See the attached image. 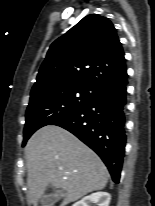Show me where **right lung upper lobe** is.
Masks as SVG:
<instances>
[{"instance_id":"1","label":"right lung upper lobe","mask_w":155,"mask_h":206,"mask_svg":"<svg viewBox=\"0 0 155 206\" xmlns=\"http://www.w3.org/2000/svg\"><path fill=\"white\" fill-rule=\"evenodd\" d=\"M125 74L116 29L107 18L91 14L52 43L31 95L74 85L100 90Z\"/></svg>"}]
</instances>
